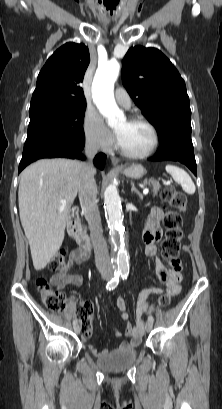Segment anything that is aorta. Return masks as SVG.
<instances>
[{
    "instance_id": "obj_1",
    "label": "aorta",
    "mask_w": 222,
    "mask_h": 409,
    "mask_svg": "<svg viewBox=\"0 0 222 409\" xmlns=\"http://www.w3.org/2000/svg\"><path fill=\"white\" fill-rule=\"evenodd\" d=\"M120 65L116 60L99 66L92 83V98L100 113L107 118L108 124L114 126L122 116L115 99L114 83L119 75ZM104 208L107 224L114 246L116 247L117 267L120 271L129 268L128 252L124 246V227L121 199L114 184L104 192Z\"/></svg>"
}]
</instances>
